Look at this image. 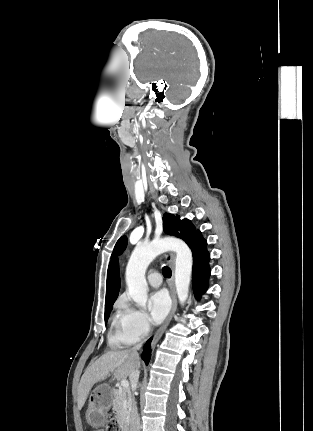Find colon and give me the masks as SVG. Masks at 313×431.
<instances>
[{
  "label": "colon",
  "instance_id": "obj_1",
  "mask_svg": "<svg viewBox=\"0 0 313 431\" xmlns=\"http://www.w3.org/2000/svg\"><path fill=\"white\" fill-rule=\"evenodd\" d=\"M103 431H120V428L115 420H111L106 424Z\"/></svg>",
  "mask_w": 313,
  "mask_h": 431
}]
</instances>
